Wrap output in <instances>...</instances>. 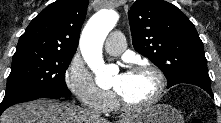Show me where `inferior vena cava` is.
<instances>
[{
    "label": "inferior vena cava",
    "mask_w": 221,
    "mask_h": 123,
    "mask_svg": "<svg viewBox=\"0 0 221 123\" xmlns=\"http://www.w3.org/2000/svg\"><path fill=\"white\" fill-rule=\"evenodd\" d=\"M87 112H89V111H87ZM90 114H93V115H96V114H94V113H91V112H89Z\"/></svg>",
    "instance_id": "1"
}]
</instances>
